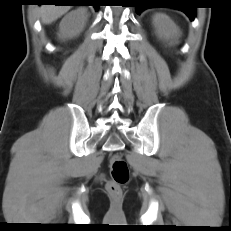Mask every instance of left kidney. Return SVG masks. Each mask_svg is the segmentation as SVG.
<instances>
[{
  "label": "left kidney",
  "instance_id": "1",
  "mask_svg": "<svg viewBox=\"0 0 231 231\" xmlns=\"http://www.w3.org/2000/svg\"><path fill=\"white\" fill-rule=\"evenodd\" d=\"M153 25L159 38L175 43L178 41L180 29L167 15L162 13L156 14L153 17Z\"/></svg>",
  "mask_w": 231,
  "mask_h": 231
}]
</instances>
